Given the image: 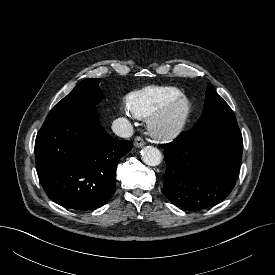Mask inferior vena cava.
<instances>
[{
    "mask_svg": "<svg viewBox=\"0 0 275 275\" xmlns=\"http://www.w3.org/2000/svg\"><path fill=\"white\" fill-rule=\"evenodd\" d=\"M113 132L122 138H129L133 135V126L130 121L126 118H118L114 120L112 124Z\"/></svg>",
    "mask_w": 275,
    "mask_h": 275,
    "instance_id": "602c4592",
    "label": "inferior vena cava"
}]
</instances>
